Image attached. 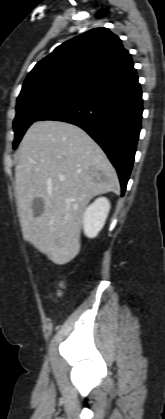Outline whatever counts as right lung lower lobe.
<instances>
[{"mask_svg": "<svg viewBox=\"0 0 165 419\" xmlns=\"http://www.w3.org/2000/svg\"><path fill=\"white\" fill-rule=\"evenodd\" d=\"M142 92L133 68L86 95L55 108L40 120H58L84 129L116 168L124 195L141 130Z\"/></svg>", "mask_w": 165, "mask_h": 419, "instance_id": "1", "label": "right lung lower lobe"}]
</instances>
